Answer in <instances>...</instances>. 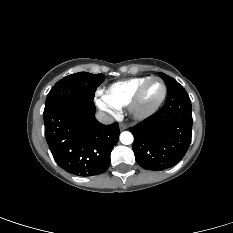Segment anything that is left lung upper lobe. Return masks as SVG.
I'll return each mask as SVG.
<instances>
[{
	"label": "left lung upper lobe",
	"instance_id": "5c2ea615",
	"mask_svg": "<svg viewBox=\"0 0 233 233\" xmlns=\"http://www.w3.org/2000/svg\"><path fill=\"white\" fill-rule=\"evenodd\" d=\"M160 76L164 79L165 84L168 88V94H171L173 92H176L178 90L184 89L175 79H173L172 77L161 73L160 72Z\"/></svg>",
	"mask_w": 233,
	"mask_h": 233
}]
</instances>
